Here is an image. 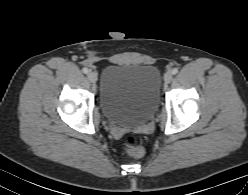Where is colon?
Wrapping results in <instances>:
<instances>
[{"mask_svg":"<svg viewBox=\"0 0 248 195\" xmlns=\"http://www.w3.org/2000/svg\"><path fill=\"white\" fill-rule=\"evenodd\" d=\"M123 149L127 155L133 157H139L144 152L141 140L133 135H129L125 138Z\"/></svg>","mask_w":248,"mask_h":195,"instance_id":"1","label":"colon"}]
</instances>
